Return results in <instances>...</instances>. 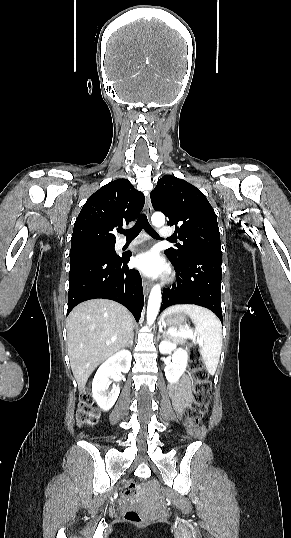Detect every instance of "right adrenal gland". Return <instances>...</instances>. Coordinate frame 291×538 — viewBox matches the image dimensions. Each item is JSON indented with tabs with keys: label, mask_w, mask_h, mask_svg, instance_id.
<instances>
[{
	"label": "right adrenal gland",
	"mask_w": 291,
	"mask_h": 538,
	"mask_svg": "<svg viewBox=\"0 0 291 538\" xmlns=\"http://www.w3.org/2000/svg\"><path fill=\"white\" fill-rule=\"evenodd\" d=\"M133 340H134V334L132 333L129 342L125 346L126 347L129 346V345L132 346L133 345Z\"/></svg>",
	"instance_id": "2a0ac1e0"
}]
</instances>
